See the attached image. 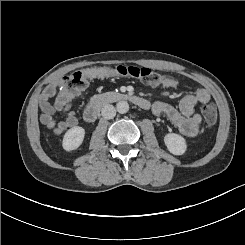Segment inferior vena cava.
Returning <instances> with one entry per match:
<instances>
[{
    "instance_id": "inferior-vena-cava-1",
    "label": "inferior vena cava",
    "mask_w": 245,
    "mask_h": 245,
    "mask_svg": "<svg viewBox=\"0 0 245 245\" xmlns=\"http://www.w3.org/2000/svg\"><path fill=\"white\" fill-rule=\"evenodd\" d=\"M101 114L105 119H112L116 115V109L113 105L107 104L102 108Z\"/></svg>"
}]
</instances>
